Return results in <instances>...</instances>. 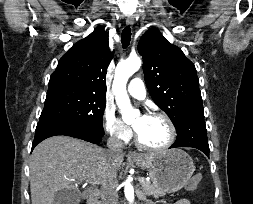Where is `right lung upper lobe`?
I'll list each match as a JSON object with an SVG mask.
<instances>
[{
	"label": "right lung upper lobe",
	"instance_id": "cb5924a9",
	"mask_svg": "<svg viewBox=\"0 0 253 204\" xmlns=\"http://www.w3.org/2000/svg\"><path fill=\"white\" fill-rule=\"evenodd\" d=\"M112 57L108 34L102 27H97L59 60L49 86H72L106 97L105 77Z\"/></svg>",
	"mask_w": 253,
	"mask_h": 204
}]
</instances>
